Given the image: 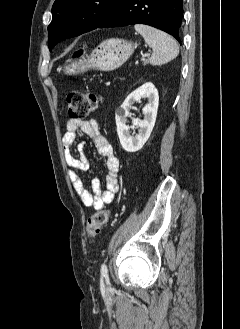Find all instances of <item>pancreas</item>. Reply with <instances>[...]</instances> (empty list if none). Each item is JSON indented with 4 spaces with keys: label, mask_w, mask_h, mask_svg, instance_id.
Masks as SVG:
<instances>
[{
    "label": "pancreas",
    "mask_w": 240,
    "mask_h": 329,
    "mask_svg": "<svg viewBox=\"0 0 240 329\" xmlns=\"http://www.w3.org/2000/svg\"><path fill=\"white\" fill-rule=\"evenodd\" d=\"M148 63V61H145V64H147Z\"/></svg>",
    "instance_id": "obj_1"
}]
</instances>
